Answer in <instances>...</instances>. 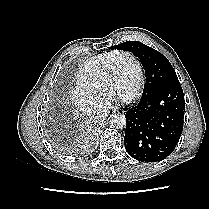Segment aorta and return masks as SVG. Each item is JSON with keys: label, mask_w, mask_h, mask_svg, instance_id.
I'll return each instance as SVG.
<instances>
[{"label": "aorta", "mask_w": 209, "mask_h": 209, "mask_svg": "<svg viewBox=\"0 0 209 209\" xmlns=\"http://www.w3.org/2000/svg\"><path fill=\"white\" fill-rule=\"evenodd\" d=\"M110 125L114 128L121 129L126 125V118L121 114H114L110 119Z\"/></svg>", "instance_id": "aorta-1"}]
</instances>
